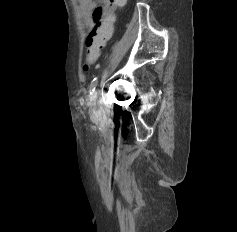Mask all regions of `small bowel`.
<instances>
[{
    "label": "small bowel",
    "instance_id": "c3829d8e",
    "mask_svg": "<svg viewBox=\"0 0 237 232\" xmlns=\"http://www.w3.org/2000/svg\"><path fill=\"white\" fill-rule=\"evenodd\" d=\"M81 16L85 26L91 30L95 24L103 21L116 7L115 0H79Z\"/></svg>",
    "mask_w": 237,
    "mask_h": 232
}]
</instances>
